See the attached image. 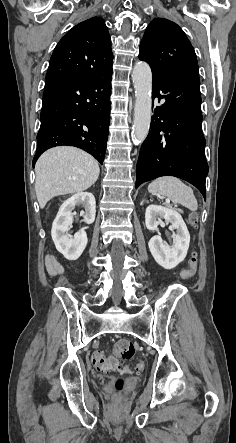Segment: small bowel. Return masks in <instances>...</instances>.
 Segmentation results:
<instances>
[{
  "instance_id": "small-bowel-1",
  "label": "small bowel",
  "mask_w": 236,
  "mask_h": 443,
  "mask_svg": "<svg viewBox=\"0 0 236 443\" xmlns=\"http://www.w3.org/2000/svg\"><path fill=\"white\" fill-rule=\"evenodd\" d=\"M46 268L51 276H60L64 273V266L62 263L52 254L46 256Z\"/></svg>"
}]
</instances>
